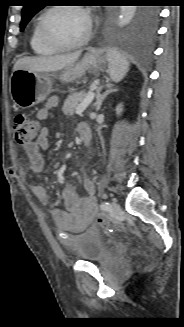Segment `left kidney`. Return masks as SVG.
Segmentation results:
<instances>
[{
  "mask_svg": "<svg viewBox=\"0 0 184 327\" xmlns=\"http://www.w3.org/2000/svg\"><path fill=\"white\" fill-rule=\"evenodd\" d=\"M123 110V105L122 104H119L117 107H116V113L119 115Z\"/></svg>",
  "mask_w": 184,
  "mask_h": 327,
  "instance_id": "1",
  "label": "left kidney"
}]
</instances>
